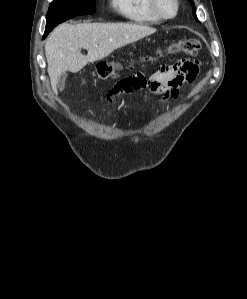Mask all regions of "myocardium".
<instances>
[{"mask_svg":"<svg viewBox=\"0 0 247 299\" xmlns=\"http://www.w3.org/2000/svg\"><path fill=\"white\" fill-rule=\"evenodd\" d=\"M174 5V12L171 15H166L161 11L160 4L161 0H151V8L153 13L160 19V20H171L174 19L179 12V0H170Z\"/></svg>","mask_w":247,"mask_h":299,"instance_id":"1","label":"myocardium"}]
</instances>
